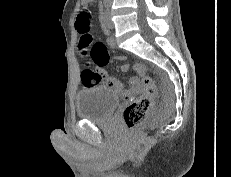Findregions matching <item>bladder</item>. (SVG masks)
<instances>
[{"label": "bladder", "instance_id": "31cf9c89", "mask_svg": "<svg viewBox=\"0 0 231 177\" xmlns=\"http://www.w3.org/2000/svg\"><path fill=\"white\" fill-rule=\"evenodd\" d=\"M118 103L116 92L104 86H93L78 92L76 114L81 120L102 122L111 116Z\"/></svg>", "mask_w": 231, "mask_h": 177}]
</instances>
